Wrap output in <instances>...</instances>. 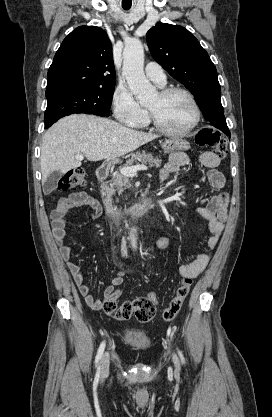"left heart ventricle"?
Here are the masks:
<instances>
[{
	"label": "left heart ventricle",
	"instance_id": "left-heart-ventricle-1",
	"mask_svg": "<svg viewBox=\"0 0 272 417\" xmlns=\"http://www.w3.org/2000/svg\"><path fill=\"white\" fill-rule=\"evenodd\" d=\"M148 109L155 113L163 126L171 130L187 128L195 115L191 102L182 94H174L167 98L158 94Z\"/></svg>",
	"mask_w": 272,
	"mask_h": 417
}]
</instances>
